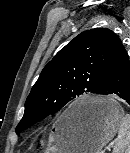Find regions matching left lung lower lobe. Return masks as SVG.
<instances>
[{
    "mask_svg": "<svg viewBox=\"0 0 130 153\" xmlns=\"http://www.w3.org/2000/svg\"><path fill=\"white\" fill-rule=\"evenodd\" d=\"M98 94L117 95L130 105V62L122 44L105 70ZM85 113L86 109H81L76 115Z\"/></svg>",
    "mask_w": 130,
    "mask_h": 153,
    "instance_id": "1",
    "label": "left lung lower lobe"
}]
</instances>
